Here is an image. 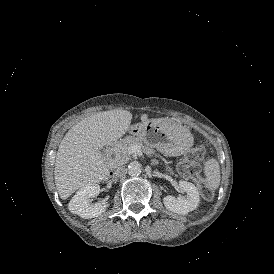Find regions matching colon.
<instances>
[{
  "mask_svg": "<svg viewBox=\"0 0 274 274\" xmlns=\"http://www.w3.org/2000/svg\"><path fill=\"white\" fill-rule=\"evenodd\" d=\"M205 154V146L203 144L194 145L186 154L185 158L177 164L178 171L188 177L198 179L200 174L199 162ZM203 195L207 199L213 197V192L209 186L200 180Z\"/></svg>",
  "mask_w": 274,
  "mask_h": 274,
  "instance_id": "colon-1",
  "label": "colon"
}]
</instances>
